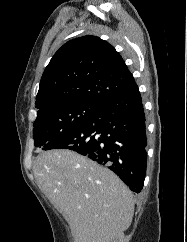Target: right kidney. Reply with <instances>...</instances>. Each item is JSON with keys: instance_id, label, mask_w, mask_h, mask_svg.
Returning <instances> with one entry per match:
<instances>
[{"instance_id": "right-kidney-1", "label": "right kidney", "mask_w": 187, "mask_h": 242, "mask_svg": "<svg viewBox=\"0 0 187 242\" xmlns=\"http://www.w3.org/2000/svg\"><path fill=\"white\" fill-rule=\"evenodd\" d=\"M109 242H124V234H119L118 236L112 238Z\"/></svg>"}]
</instances>
